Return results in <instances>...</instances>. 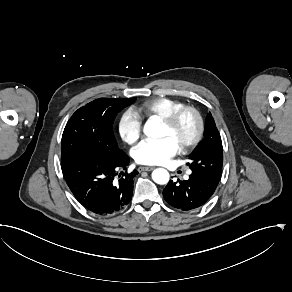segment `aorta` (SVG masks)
<instances>
[{"mask_svg": "<svg viewBox=\"0 0 292 292\" xmlns=\"http://www.w3.org/2000/svg\"><path fill=\"white\" fill-rule=\"evenodd\" d=\"M143 133L151 138H156L160 136V124L155 120H148L143 127ZM170 175L166 169L157 168L152 172V179L155 183L159 185L167 184Z\"/></svg>", "mask_w": 292, "mask_h": 292, "instance_id": "aorta-1", "label": "aorta"}]
</instances>
